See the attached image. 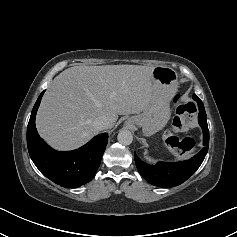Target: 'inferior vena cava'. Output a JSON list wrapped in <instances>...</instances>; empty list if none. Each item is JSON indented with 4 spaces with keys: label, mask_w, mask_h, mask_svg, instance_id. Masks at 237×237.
<instances>
[{
    "label": "inferior vena cava",
    "mask_w": 237,
    "mask_h": 237,
    "mask_svg": "<svg viewBox=\"0 0 237 237\" xmlns=\"http://www.w3.org/2000/svg\"><path fill=\"white\" fill-rule=\"evenodd\" d=\"M93 126L97 131H100V130L110 128L111 123L107 117L101 116L94 120Z\"/></svg>",
    "instance_id": "1"
}]
</instances>
